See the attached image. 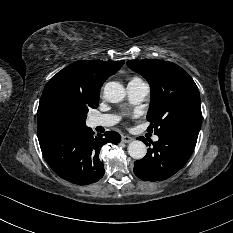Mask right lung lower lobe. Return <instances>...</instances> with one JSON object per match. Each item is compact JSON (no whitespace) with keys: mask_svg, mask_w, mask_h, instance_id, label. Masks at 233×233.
Returning a JSON list of instances; mask_svg holds the SVG:
<instances>
[{"mask_svg":"<svg viewBox=\"0 0 233 233\" xmlns=\"http://www.w3.org/2000/svg\"><path fill=\"white\" fill-rule=\"evenodd\" d=\"M43 156L51 169L62 179L77 185H87L104 175L99 159L100 148L109 142L118 144L120 135L107 131L94 136L89 128L37 130Z\"/></svg>","mask_w":233,"mask_h":233,"instance_id":"1","label":"right lung lower lobe"}]
</instances>
